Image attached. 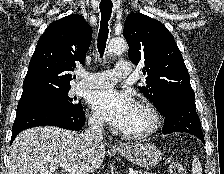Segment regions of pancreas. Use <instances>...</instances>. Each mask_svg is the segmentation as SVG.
<instances>
[{"label":"pancreas","instance_id":"cf45deb5","mask_svg":"<svg viewBox=\"0 0 224 174\" xmlns=\"http://www.w3.org/2000/svg\"><path fill=\"white\" fill-rule=\"evenodd\" d=\"M139 174H153V173L139 171Z\"/></svg>","mask_w":224,"mask_h":174}]
</instances>
